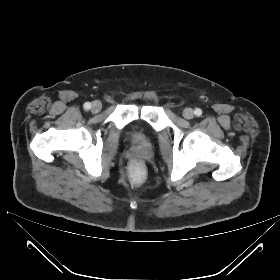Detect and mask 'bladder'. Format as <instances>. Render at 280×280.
Here are the masks:
<instances>
[{
  "instance_id": "bladder-1",
  "label": "bladder",
  "mask_w": 280,
  "mask_h": 280,
  "mask_svg": "<svg viewBox=\"0 0 280 280\" xmlns=\"http://www.w3.org/2000/svg\"><path fill=\"white\" fill-rule=\"evenodd\" d=\"M127 137L135 145H144L151 140L152 134L145 125L133 122L128 126Z\"/></svg>"
}]
</instances>
